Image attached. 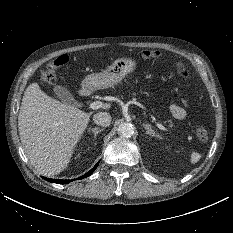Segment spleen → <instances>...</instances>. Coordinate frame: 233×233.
I'll return each mask as SVG.
<instances>
[{
	"mask_svg": "<svg viewBox=\"0 0 233 233\" xmlns=\"http://www.w3.org/2000/svg\"><path fill=\"white\" fill-rule=\"evenodd\" d=\"M200 159H201V154L200 153L193 152L191 154V160L190 161H191L192 164L197 163Z\"/></svg>",
	"mask_w": 233,
	"mask_h": 233,
	"instance_id": "1",
	"label": "spleen"
}]
</instances>
